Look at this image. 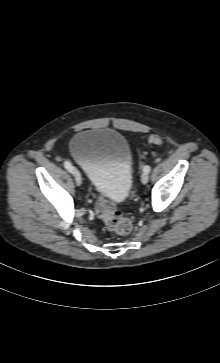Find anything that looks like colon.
<instances>
[{
	"mask_svg": "<svg viewBox=\"0 0 220 363\" xmlns=\"http://www.w3.org/2000/svg\"><path fill=\"white\" fill-rule=\"evenodd\" d=\"M150 142L159 143L157 136H150ZM96 214L104 221L105 225L117 234H128L132 230V221L117 211L113 204L108 200L100 197L95 206Z\"/></svg>",
	"mask_w": 220,
	"mask_h": 363,
	"instance_id": "obj_1",
	"label": "colon"
}]
</instances>
